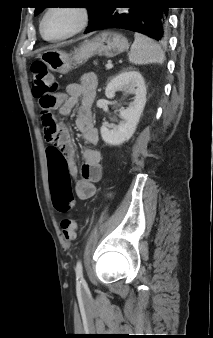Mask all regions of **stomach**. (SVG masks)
<instances>
[{"mask_svg": "<svg viewBox=\"0 0 213 338\" xmlns=\"http://www.w3.org/2000/svg\"><path fill=\"white\" fill-rule=\"evenodd\" d=\"M128 48V40L122 34L102 31L82 42L72 56L53 49L42 53L40 59L51 71L66 74L75 65L82 64L95 55L111 58L127 51Z\"/></svg>", "mask_w": 213, "mask_h": 338, "instance_id": "0dacf381", "label": "stomach"}]
</instances>
